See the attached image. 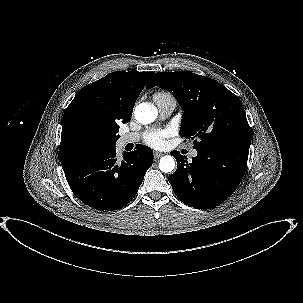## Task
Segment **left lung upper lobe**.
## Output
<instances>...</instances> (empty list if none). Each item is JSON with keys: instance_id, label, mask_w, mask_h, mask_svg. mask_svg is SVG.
Wrapping results in <instances>:
<instances>
[{"instance_id": "left-lung-upper-lobe-1", "label": "left lung upper lobe", "mask_w": 303, "mask_h": 303, "mask_svg": "<svg viewBox=\"0 0 303 303\" xmlns=\"http://www.w3.org/2000/svg\"><path fill=\"white\" fill-rule=\"evenodd\" d=\"M172 92L184 116L180 135L204 146L249 148L252 138L240 99L218 82L188 71L158 72L147 89Z\"/></svg>"}]
</instances>
